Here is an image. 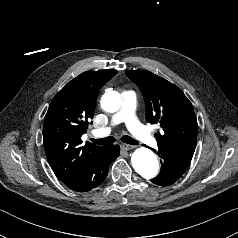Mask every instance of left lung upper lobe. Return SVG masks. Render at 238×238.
<instances>
[{
  "label": "left lung upper lobe",
  "mask_w": 238,
  "mask_h": 238,
  "mask_svg": "<svg viewBox=\"0 0 238 238\" xmlns=\"http://www.w3.org/2000/svg\"><path fill=\"white\" fill-rule=\"evenodd\" d=\"M126 73L144 95L147 122L159 123L163 129L156 134L158 148L193 156L198 124L192 104L184 93L149 71Z\"/></svg>",
  "instance_id": "left-lung-upper-lobe-1"
}]
</instances>
